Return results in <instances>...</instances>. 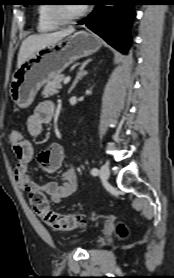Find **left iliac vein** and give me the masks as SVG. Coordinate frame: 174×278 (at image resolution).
<instances>
[{
    "instance_id": "1",
    "label": "left iliac vein",
    "mask_w": 174,
    "mask_h": 278,
    "mask_svg": "<svg viewBox=\"0 0 174 278\" xmlns=\"http://www.w3.org/2000/svg\"><path fill=\"white\" fill-rule=\"evenodd\" d=\"M109 175H110L109 167L107 165H103L99 171L100 178L102 180H107L109 178Z\"/></svg>"
}]
</instances>
